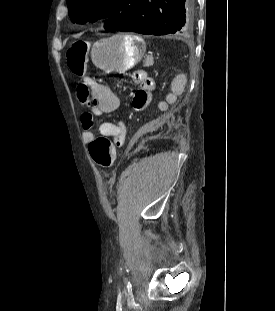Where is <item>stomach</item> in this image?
Returning a JSON list of instances; mask_svg holds the SVG:
<instances>
[{"instance_id":"obj_1","label":"stomach","mask_w":275,"mask_h":311,"mask_svg":"<svg viewBox=\"0 0 275 311\" xmlns=\"http://www.w3.org/2000/svg\"><path fill=\"white\" fill-rule=\"evenodd\" d=\"M146 43L138 36L117 34L95 42L91 49L93 64L105 73H125L144 56Z\"/></svg>"}]
</instances>
